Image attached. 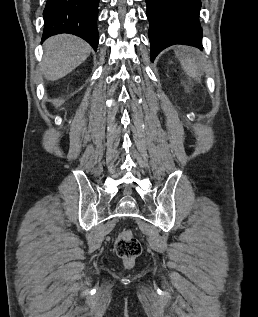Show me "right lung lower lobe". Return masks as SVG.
Returning <instances> with one entry per match:
<instances>
[{
	"label": "right lung lower lobe",
	"instance_id": "1",
	"mask_svg": "<svg viewBox=\"0 0 258 317\" xmlns=\"http://www.w3.org/2000/svg\"><path fill=\"white\" fill-rule=\"evenodd\" d=\"M98 3L99 0H47L42 41L56 34L69 33L83 38L96 51Z\"/></svg>",
	"mask_w": 258,
	"mask_h": 317
}]
</instances>
